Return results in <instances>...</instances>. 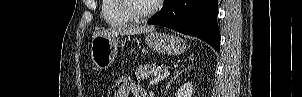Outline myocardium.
<instances>
[{"instance_id": "f54148a6", "label": "myocardium", "mask_w": 302, "mask_h": 97, "mask_svg": "<svg viewBox=\"0 0 302 97\" xmlns=\"http://www.w3.org/2000/svg\"><path fill=\"white\" fill-rule=\"evenodd\" d=\"M128 1L129 0H117L119 9L132 21H143L155 14L158 9V3L153 2L146 12L138 14L130 9Z\"/></svg>"}]
</instances>
